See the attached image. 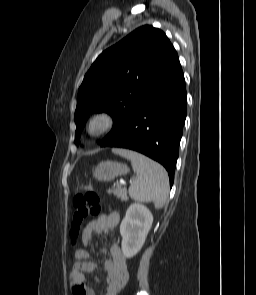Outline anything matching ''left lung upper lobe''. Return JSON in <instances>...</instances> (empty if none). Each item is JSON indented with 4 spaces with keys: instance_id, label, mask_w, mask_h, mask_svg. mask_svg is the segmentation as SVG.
Here are the masks:
<instances>
[{
    "instance_id": "5c2ea615",
    "label": "left lung upper lobe",
    "mask_w": 256,
    "mask_h": 295,
    "mask_svg": "<svg viewBox=\"0 0 256 295\" xmlns=\"http://www.w3.org/2000/svg\"><path fill=\"white\" fill-rule=\"evenodd\" d=\"M179 65L177 52L165 33L148 25L106 49L92 64L78 90L76 136L93 111H105L113 117L109 136Z\"/></svg>"
}]
</instances>
